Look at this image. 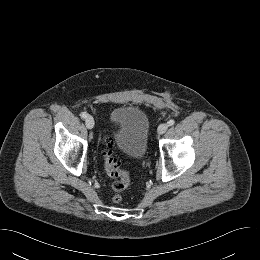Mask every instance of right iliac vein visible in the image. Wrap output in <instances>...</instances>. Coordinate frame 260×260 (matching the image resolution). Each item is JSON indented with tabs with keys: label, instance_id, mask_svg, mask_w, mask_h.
I'll return each instance as SVG.
<instances>
[{
	"label": "right iliac vein",
	"instance_id": "63e3f726",
	"mask_svg": "<svg viewBox=\"0 0 260 260\" xmlns=\"http://www.w3.org/2000/svg\"><path fill=\"white\" fill-rule=\"evenodd\" d=\"M85 124H86V127L88 129H92L94 127V124H95L93 117L88 116L85 120Z\"/></svg>",
	"mask_w": 260,
	"mask_h": 260
}]
</instances>
